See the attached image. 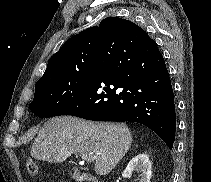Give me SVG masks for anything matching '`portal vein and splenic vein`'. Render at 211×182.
<instances>
[{
    "label": "portal vein and splenic vein",
    "instance_id": "obj_1",
    "mask_svg": "<svg viewBox=\"0 0 211 182\" xmlns=\"http://www.w3.org/2000/svg\"><path fill=\"white\" fill-rule=\"evenodd\" d=\"M82 158L86 159V160L89 161V162H93V161L95 160V155L92 154V153H89V154L85 155V156L82 157Z\"/></svg>",
    "mask_w": 211,
    "mask_h": 182
}]
</instances>
